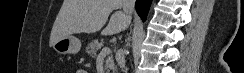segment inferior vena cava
Returning <instances> with one entry per match:
<instances>
[{
    "mask_svg": "<svg viewBox=\"0 0 244 73\" xmlns=\"http://www.w3.org/2000/svg\"><path fill=\"white\" fill-rule=\"evenodd\" d=\"M122 7H123V11L124 13L131 18V14L134 10V4H135V0H122ZM121 56L118 60V63L120 65L121 68L125 67V56H124V52L123 50H121Z\"/></svg>",
    "mask_w": 244,
    "mask_h": 73,
    "instance_id": "inferior-vena-cava-1",
    "label": "inferior vena cava"
}]
</instances>
